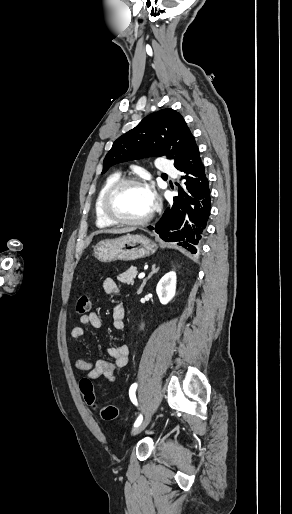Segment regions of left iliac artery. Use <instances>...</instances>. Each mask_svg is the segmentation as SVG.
Returning a JSON list of instances; mask_svg holds the SVG:
<instances>
[{"instance_id":"left-iliac-artery-1","label":"left iliac artery","mask_w":292,"mask_h":514,"mask_svg":"<svg viewBox=\"0 0 292 514\" xmlns=\"http://www.w3.org/2000/svg\"><path fill=\"white\" fill-rule=\"evenodd\" d=\"M137 386H138V384H137V383H133V384L131 385V387H130V390H129V396H130V398H131V401H132L135 405H137V400H136V396H135V392H136ZM142 420H143V417H142V415L140 414V415H139V417L136 419V421H135V423H134V427H135V428H136V427H138V426L141 424Z\"/></svg>"}]
</instances>
